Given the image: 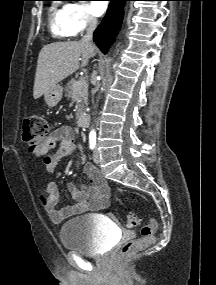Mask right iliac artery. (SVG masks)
I'll list each match as a JSON object with an SVG mask.
<instances>
[{"label": "right iliac artery", "instance_id": "right-iliac-artery-1", "mask_svg": "<svg viewBox=\"0 0 216 285\" xmlns=\"http://www.w3.org/2000/svg\"><path fill=\"white\" fill-rule=\"evenodd\" d=\"M89 146L90 149L93 150L96 146V135L95 134H90L89 136Z\"/></svg>", "mask_w": 216, "mask_h": 285}]
</instances>
